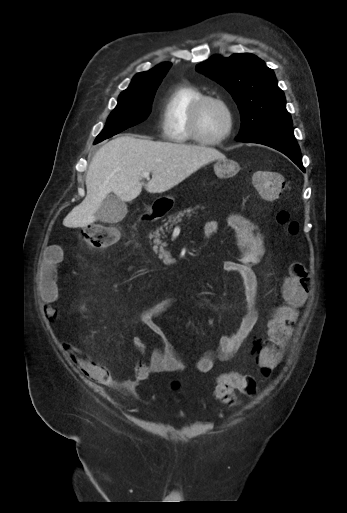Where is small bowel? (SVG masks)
I'll return each mask as SVG.
<instances>
[{
  "label": "small bowel",
  "instance_id": "c3829d8e",
  "mask_svg": "<svg viewBox=\"0 0 347 513\" xmlns=\"http://www.w3.org/2000/svg\"><path fill=\"white\" fill-rule=\"evenodd\" d=\"M227 223L234 235L245 245L243 261H227L224 263V270L235 274L244 289L246 299V310L240 318V321L233 332L220 337L218 348L215 350H206L202 352L195 362V368L200 373L210 372L217 361H229L235 357L245 347L250 350L253 346L248 344L251 332L258 321V311L256 308L257 298V277L254 267L258 265L265 251L264 238L258 225L237 213L230 214ZM219 224L215 220H209L204 223L203 230L207 237L213 236L218 232ZM61 261L60 249L55 247L50 250L46 258L43 259L38 275L37 290L46 304L45 314L53 320L58 316V308L54 306L59 300V291L56 283L57 266ZM177 300L174 298L163 299L146 309L141 315L140 320L161 340V346L151 351L148 363L141 360H134L132 369L134 376L132 379L123 382V386L132 389L139 382L144 380L150 372L155 373H174L184 371L185 363L179 358L173 345L170 343L166 332L157 322V318L168 312ZM76 308L84 312L87 305L80 301ZM133 345L136 351L143 354L146 351V345L139 336L133 338ZM78 367L90 378L101 383L108 381L105 376L104 368L99 362H92L83 357L77 351H72Z\"/></svg>",
  "mask_w": 347,
  "mask_h": 513
}]
</instances>
